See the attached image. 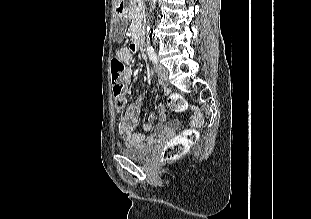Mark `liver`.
Segmentation results:
<instances>
[{
  "mask_svg": "<svg viewBox=\"0 0 311 219\" xmlns=\"http://www.w3.org/2000/svg\"><path fill=\"white\" fill-rule=\"evenodd\" d=\"M122 1H123V0H112V3H113L114 8H116L117 5H118L119 3H121Z\"/></svg>",
  "mask_w": 311,
  "mask_h": 219,
  "instance_id": "liver-1",
  "label": "liver"
}]
</instances>
